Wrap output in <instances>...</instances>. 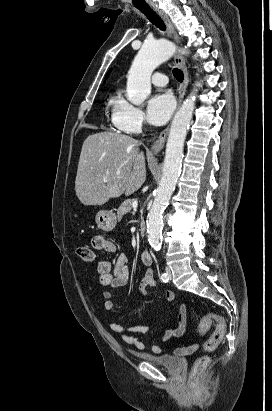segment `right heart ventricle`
Masks as SVG:
<instances>
[{
	"label": "right heart ventricle",
	"mask_w": 272,
	"mask_h": 411,
	"mask_svg": "<svg viewBox=\"0 0 272 411\" xmlns=\"http://www.w3.org/2000/svg\"><path fill=\"white\" fill-rule=\"evenodd\" d=\"M119 95H115V96H112L110 99H109V103L111 104V105H113L118 99H119Z\"/></svg>",
	"instance_id": "obj_1"
}]
</instances>
